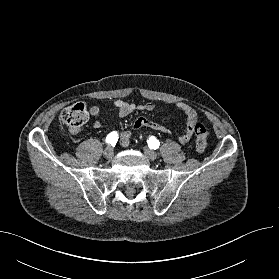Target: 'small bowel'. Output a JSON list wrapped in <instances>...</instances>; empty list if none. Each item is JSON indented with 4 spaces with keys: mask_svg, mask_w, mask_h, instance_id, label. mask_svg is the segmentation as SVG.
<instances>
[{
    "mask_svg": "<svg viewBox=\"0 0 279 279\" xmlns=\"http://www.w3.org/2000/svg\"><path fill=\"white\" fill-rule=\"evenodd\" d=\"M113 106L120 117H126L135 111L153 112L155 110V105L153 103L135 104L124 100H116ZM175 107L184 114L186 119L185 131L178 138L180 143L185 144L190 141L194 133L195 125L198 122V114L192 106L185 102H177L175 103ZM89 112L91 117L94 119L93 127H104V123L99 120V107L92 106ZM143 127L153 129L162 134H171L170 129L166 125L154 122L145 117H139L136 119L132 126L133 130H138ZM131 135V131H126L122 134L121 142L123 145L126 146L129 144Z\"/></svg>",
    "mask_w": 279,
    "mask_h": 279,
    "instance_id": "small-bowel-1",
    "label": "small bowel"
}]
</instances>
